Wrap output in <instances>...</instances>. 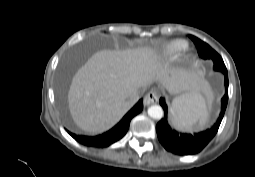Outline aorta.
<instances>
[{
  "mask_svg": "<svg viewBox=\"0 0 255 177\" xmlns=\"http://www.w3.org/2000/svg\"><path fill=\"white\" fill-rule=\"evenodd\" d=\"M148 115L153 119H161L163 117V109L159 105H153L148 108Z\"/></svg>",
  "mask_w": 255,
  "mask_h": 177,
  "instance_id": "762f6f07",
  "label": "aorta"
}]
</instances>
